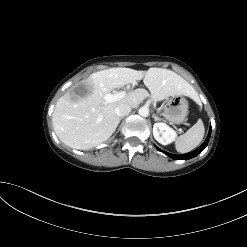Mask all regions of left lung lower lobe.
I'll return each instance as SVG.
<instances>
[{
	"label": "left lung lower lobe",
	"mask_w": 247,
	"mask_h": 247,
	"mask_svg": "<svg viewBox=\"0 0 247 247\" xmlns=\"http://www.w3.org/2000/svg\"><path fill=\"white\" fill-rule=\"evenodd\" d=\"M210 135H211V126H210V129H209V133H208V136L206 138V140L204 141V143L198 147L196 150L192 151V152H189V153H186V154H182V155H174V154H170V153H167L161 149H159L158 147H156L159 151L163 152L164 154H166L167 156L173 158V159H176V160H188V159H191L195 156H197L199 153H201L204 148L207 146L208 142H209V139H210Z\"/></svg>",
	"instance_id": "1"
}]
</instances>
